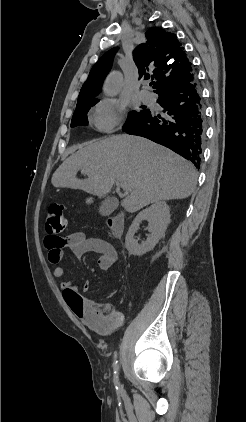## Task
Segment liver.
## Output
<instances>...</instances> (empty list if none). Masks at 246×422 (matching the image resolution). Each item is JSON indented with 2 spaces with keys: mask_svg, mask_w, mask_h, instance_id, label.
Here are the masks:
<instances>
[{
  "mask_svg": "<svg viewBox=\"0 0 246 422\" xmlns=\"http://www.w3.org/2000/svg\"><path fill=\"white\" fill-rule=\"evenodd\" d=\"M79 170L88 178L78 179ZM196 179L194 166L173 151L142 137L113 135L83 144L59 166L51 182L56 188L103 197L120 181L127 192L121 205L133 213L151 203L189 197Z\"/></svg>",
  "mask_w": 246,
  "mask_h": 422,
  "instance_id": "1",
  "label": "liver"
}]
</instances>
